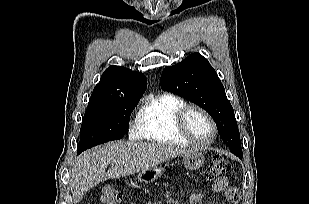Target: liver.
Returning a JSON list of instances; mask_svg holds the SVG:
<instances>
[{"instance_id":"liver-1","label":"liver","mask_w":309,"mask_h":204,"mask_svg":"<svg viewBox=\"0 0 309 204\" xmlns=\"http://www.w3.org/2000/svg\"><path fill=\"white\" fill-rule=\"evenodd\" d=\"M187 150L178 147L131 141L109 142L83 152L70 169V188L74 201L97 184L148 170ZM111 168L106 171L108 165Z\"/></svg>"}]
</instances>
